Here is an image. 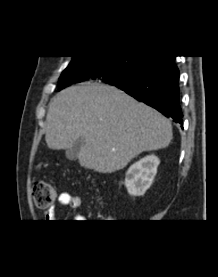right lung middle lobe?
Returning a JSON list of instances; mask_svg holds the SVG:
<instances>
[{
	"label": "right lung middle lobe",
	"instance_id": "right-lung-middle-lobe-1",
	"mask_svg": "<svg viewBox=\"0 0 218 277\" xmlns=\"http://www.w3.org/2000/svg\"><path fill=\"white\" fill-rule=\"evenodd\" d=\"M152 56H73L68 67L59 78L61 90L71 84L81 82L85 74L95 72L101 80L111 85L126 83L142 71Z\"/></svg>",
	"mask_w": 218,
	"mask_h": 277
}]
</instances>
